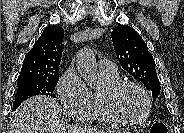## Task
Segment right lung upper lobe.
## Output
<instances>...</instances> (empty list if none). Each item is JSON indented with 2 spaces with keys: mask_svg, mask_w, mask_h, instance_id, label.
I'll return each instance as SVG.
<instances>
[{
  "mask_svg": "<svg viewBox=\"0 0 184 133\" xmlns=\"http://www.w3.org/2000/svg\"><path fill=\"white\" fill-rule=\"evenodd\" d=\"M63 36L64 29L62 27L54 25L46 27L26 55L18 79H47L59 76Z\"/></svg>",
  "mask_w": 184,
  "mask_h": 133,
  "instance_id": "right-lung-upper-lobe-1",
  "label": "right lung upper lobe"
}]
</instances>
